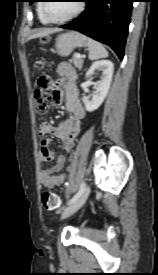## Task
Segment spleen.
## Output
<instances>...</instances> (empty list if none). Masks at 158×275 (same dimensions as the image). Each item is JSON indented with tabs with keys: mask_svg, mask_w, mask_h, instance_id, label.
<instances>
[{
	"mask_svg": "<svg viewBox=\"0 0 158 275\" xmlns=\"http://www.w3.org/2000/svg\"><path fill=\"white\" fill-rule=\"evenodd\" d=\"M87 45H88L90 60H97L108 56L107 50L101 43L91 38H87Z\"/></svg>",
	"mask_w": 158,
	"mask_h": 275,
	"instance_id": "1",
	"label": "spleen"
}]
</instances>
